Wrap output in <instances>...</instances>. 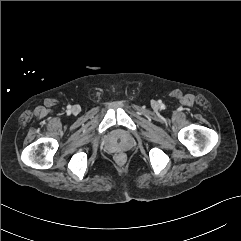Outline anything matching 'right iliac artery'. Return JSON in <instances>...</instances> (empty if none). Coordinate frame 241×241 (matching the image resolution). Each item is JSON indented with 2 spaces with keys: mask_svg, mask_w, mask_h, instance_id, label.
Here are the masks:
<instances>
[{
  "mask_svg": "<svg viewBox=\"0 0 241 241\" xmlns=\"http://www.w3.org/2000/svg\"><path fill=\"white\" fill-rule=\"evenodd\" d=\"M67 108L70 110V109H71V106L69 105V106H67Z\"/></svg>",
  "mask_w": 241,
  "mask_h": 241,
  "instance_id": "right-iliac-artery-1",
  "label": "right iliac artery"
}]
</instances>
